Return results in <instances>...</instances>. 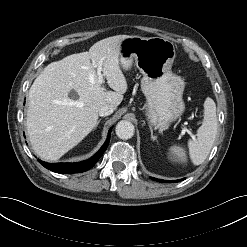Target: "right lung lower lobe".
<instances>
[{"instance_id": "98d812e1", "label": "right lung lower lobe", "mask_w": 247, "mask_h": 247, "mask_svg": "<svg viewBox=\"0 0 247 247\" xmlns=\"http://www.w3.org/2000/svg\"><path fill=\"white\" fill-rule=\"evenodd\" d=\"M112 129V128H111ZM111 129L109 130V134L108 137L104 143V145L101 147V149L91 158L82 161V162H78V163H56V164H50V163H46L44 161L38 160L45 168L56 172V173H80V172H85L87 170H89L90 168H92L95 163L99 160V158L103 155V153L105 152L109 141H110V132Z\"/></svg>"}]
</instances>
